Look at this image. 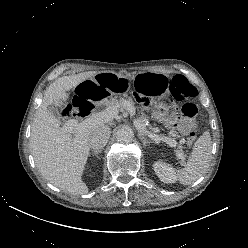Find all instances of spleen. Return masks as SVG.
I'll use <instances>...</instances> for the list:
<instances>
[{"instance_id":"spleen-1","label":"spleen","mask_w":248,"mask_h":248,"mask_svg":"<svg viewBox=\"0 0 248 248\" xmlns=\"http://www.w3.org/2000/svg\"><path fill=\"white\" fill-rule=\"evenodd\" d=\"M211 152V136L209 131H205L194 143L186 166L177 170V178L182 185L194 183L206 172L212 158Z\"/></svg>"}]
</instances>
